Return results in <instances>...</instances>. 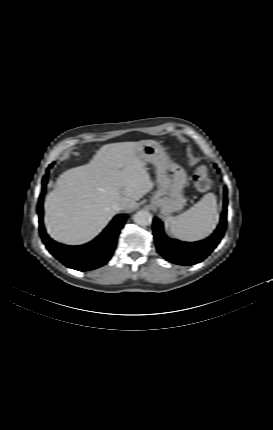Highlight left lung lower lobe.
Masks as SVG:
<instances>
[{
  "label": "left lung lower lobe",
  "mask_w": 273,
  "mask_h": 430,
  "mask_svg": "<svg viewBox=\"0 0 273 430\" xmlns=\"http://www.w3.org/2000/svg\"><path fill=\"white\" fill-rule=\"evenodd\" d=\"M225 196L227 188H224ZM227 198H224V209L217 230L209 238L188 243L168 238L163 231L162 222L154 219L153 234L157 251L165 259L178 265H192L203 261L218 245L224 235L227 217Z\"/></svg>",
  "instance_id": "0a47b994"
}]
</instances>
